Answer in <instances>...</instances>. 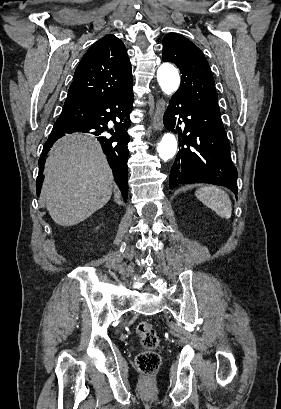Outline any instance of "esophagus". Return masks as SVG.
Returning a JSON list of instances; mask_svg holds the SVG:
<instances>
[{"instance_id": "1", "label": "esophagus", "mask_w": 281, "mask_h": 409, "mask_svg": "<svg viewBox=\"0 0 281 409\" xmlns=\"http://www.w3.org/2000/svg\"><path fill=\"white\" fill-rule=\"evenodd\" d=\"M165 111V101L160 99L156 103L155 111L152 115V126L154 130L163 129V115Z\"/></svg>"}]
</instances>
